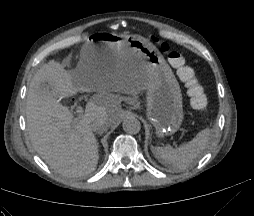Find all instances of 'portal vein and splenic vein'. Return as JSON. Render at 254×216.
<instances>
[{"label": "portal vein and splenic vein", "instance_id": "portal-vein-and-splenic-vein-1", "mask_svg": "<svg viewBox=\"0 0 254 216\" xmlns=\"http://www.w3.org/2000/svg\"><path fill=\"white\" fill-rule=\"evenodd\" d=\"M76 112H77L78 116L80 117V116H82L84 110H83V108L81 106H78L76 108Z\"/></svg>", "mask_w": 254, "mask_h": 216}]
</instances>
